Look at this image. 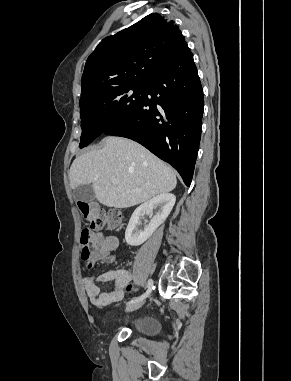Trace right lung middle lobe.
I'll return each mask as SVG.
<instances>
[{"instance_id": "obj_1", "label": "right lung middle lobe", "mask_w": 291, "mask_h": 381, "mask_svg": "<svg viewBox=\"0 0 291 381\" xmlns=\"http://www.w3.org/2000/svg\"><path fill=\"white\" fill-rule=\"evenodd\" d=\"M147 83H134L102 91L80 104V148L132 115L140 106Z\"/></svg>"}]
</instances>
